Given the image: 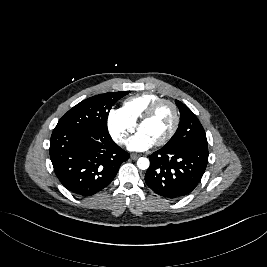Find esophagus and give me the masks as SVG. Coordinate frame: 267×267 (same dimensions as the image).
Instances as JSON below:
<instances>
[{"label":"esophagus","mask_w":267,"mask_h":267,"mask_svg":"<svg viewBox=\"0 0 267 267\" xmlns=\"http://www.w3.org/2000/svg\"><path fill=\"white\" fill-rule=\"evenodd\" d=\"M138 157H139L138 154H135V153L131 154V159L132 160H136Z\"/></svg>","instance_id":"1"}]
</instances>
